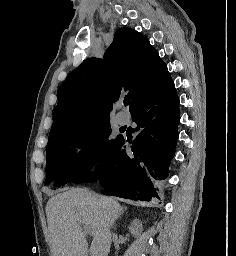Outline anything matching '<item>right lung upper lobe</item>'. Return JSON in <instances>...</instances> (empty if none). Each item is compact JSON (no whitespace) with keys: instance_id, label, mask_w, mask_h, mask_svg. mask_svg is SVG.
I'll use <instances>...</instances> for the list:
<instances>
[{"instance_id":"cb5924a9","label":"right lung upper lobe","mask_w":236,"mask_h":256,"mask_svg":"<svg viewBox=\"0 0 236 256\" xmlns=\"http://www.w3.org/2000/svg\"><path fill=\"white\" fill-rule=\"evenodd\" d=\"M167 66L141 33L120 28L103 60L86 59L63 83L49 139L79 126L110 120L120 97L136 106L171 82Z\"/></svg>"}]
</instances>
